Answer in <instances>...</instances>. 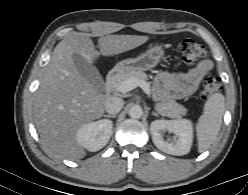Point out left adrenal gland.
<instances>
[{"instance_id": "left-adrenal-gland-1", "label": "left adrenal gland", "mask_w": 248, "mask_h": 195, "mask_svg": "<svg viewBox=\"0 0 248 195\" xmlns=\"http://www.w3.org/2000/svg\"><path fill=\"white\" fill-rule=\"evenodd\" d=\"M152 114H153L154 116H158V114H157L156 112H154V111L152 112Z\"/></svg>"}]
</instances>
